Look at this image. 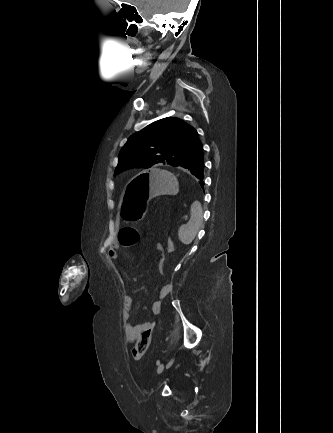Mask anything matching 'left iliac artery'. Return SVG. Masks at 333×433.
<instances>
[{"label": "left iliac artery", "instance_id": "obj_1", "mask_svg": "<svg viewBox=\"0 0 333 433\" xmlns=\"http://www.w3.org/2000/svg\"><path fill=\"white\" fill-rule=\"evenodd\" d=\"M159 363H160V361L158 360V361H157V365H159Z\"/></svg>", "mask_w": 333, "mask_h": 433}]
</instances>
